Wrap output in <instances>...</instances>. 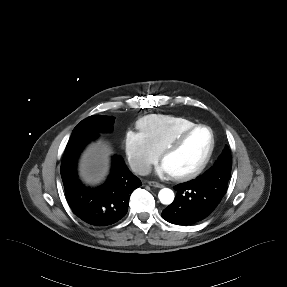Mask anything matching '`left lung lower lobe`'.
Returning a JSON list of instances; mask_svg holds the SVG:
<instances>
[{
    "mask_svg": "<svg viewBox=\"0 0 287 287\" xmlns=\"http://www.w3.org/2000/svg\"><path fill=\"white\" fill-rule=\"evenodd\" d=\"M228 176L214 169L209 179L196 178L174 187L176 197L162 212V217L173 224L191 225L203 220L217 207L224 196Z\"/></svg>",
    "mask_w": 287,
    "mask_h": 287,
    "instance_id": "obj_1",
    "label": "left lung lower lobe"
}]
</instances>
